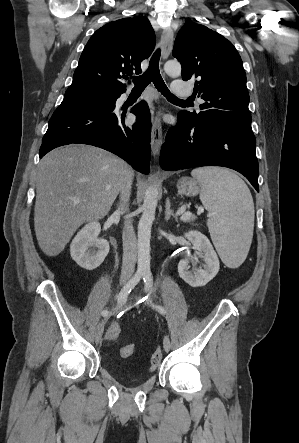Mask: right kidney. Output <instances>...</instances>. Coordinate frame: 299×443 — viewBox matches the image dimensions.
Listing matches in <instances>:
<instances>
[{
  "instance_id": "right-kidney-1",
  "label": "right kidney",
  "mask_w": 299,
  "mask_h": 443,
  "mask_svg": "<svg viewBox=\"0 0 299 443\" xmlns=\"http://www.w3.org/2000/svg\"><path fill=\"white\" fill-rule=\"evenodd\" d=\"M100 231L99 222L92 221L86 224L71 242L72 259L86 270L97 268L109 253L108 241L98 238Z\"/></svg>"
}]
</instances>
